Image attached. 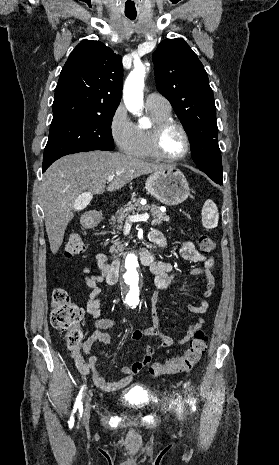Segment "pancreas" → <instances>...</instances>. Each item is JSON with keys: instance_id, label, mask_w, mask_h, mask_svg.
Masks as SVG:
<instances>
[{"instance_id": "obj_1", "label": "pancreas", "mask_w": 279, "mask_h": 465, "mask_svg": "<svg viewBox=\"0 0 279 465\" xmlns=\"http://www.w3.org/2000/svg\"><path fill=\"white\" fill-rule=\"evenodd\" d=\"M150 211L152 215V224L153 225H160L162 221H169V216H167L164 212H162L158 206L156 205H145L142 206L139 203V200H133L125 205L123 208L119 209L114 216L111 217V225L117 229V232L122 229L123 222L128 220V216L132 213H136L139 211ZM124 249L123 241L116 239L112 242V246L110 248V253L116 256L121 250Z\"/></svg>"}]
</instances>
